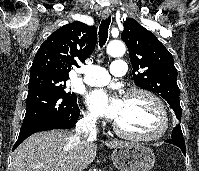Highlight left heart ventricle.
<instances>
[{"label": "left heart ventricle", "instance_id": "left-heart-ventricle-1", "mask_svg": "<svg viewBox=\"0 0 199 171\" xmlns=\"http://www.w3.org/2000/svg\"><path fill=\"white\" fill-rule=\"evenodd\" d=\"M115 121L123 130L135 134H155L161 126L160 115L154 103L142 94L124 98Z\"/></svg>", "mask_w": 199, "mask_h": 171}]
</instances>
